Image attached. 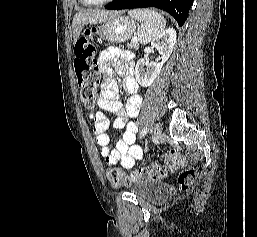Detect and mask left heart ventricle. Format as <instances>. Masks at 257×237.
I'll return each mask as SVG.
<instances>
[{"label": "left heart ventricle", "instance_id": "left-heart-ventricle-1", "mask_svg": "<svg viewBox=\"0 0 257 237\" xmlns=\"http://www.w3.org/2000/svg\"><path fill=\"white\" fill-rule=\"evenodd\" d=\"M91 1H103V0H91Z\"/></svg>", "mask_w": 257, "mask_h": 237}]
</instances>
